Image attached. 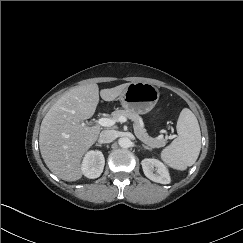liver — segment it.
Masks as SVG:
<instances>
[{
    "label": "liver",
    "mask_w": 243,
    "mask_h": 243,
    "mask_svg": "<svg viewBox=\"0 0 243 243\" xmlns=\"http://www.w3.org/2000/svg\"><path fill=\"white\" fill-rule=\"evenodd\" d=\"M129 83L102 89L104 101H113ZM99 103V88L95 83L77 86L64 93L42 120L39 147L42 158L57 177L76 181L82 177L81 160L97 141L101 128L81 123L91 118Z\"/></svg>",
    "instance_id": "liver-1"
}]
</instances>
